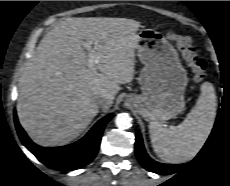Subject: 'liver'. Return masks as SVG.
<instances>
[{
	"instance_id": "6515ba94",
	"label": "liver",
	"mask_w": 230,
	"mask_h": 186,
	"mask_svg": "<svg viewBox=\"0 0 230 186\" xmlns=\"http://www.w3.org/2000/svg\"><path fill=\"white\" fill-rule=\"evenodd\" d=\"M140 22L127 18H66L40 41L19 84L17 114L29 137L44 147L77 138L99 112L109 109L120 84L134 79ZM83 40L94 45L88 66Z\"/></svg>"
}]
</instances>
